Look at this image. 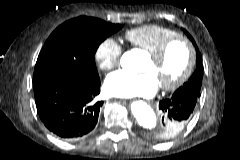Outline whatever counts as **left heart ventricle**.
<instances>
[{
  "label": "left heart ventricle",
  "mask_w": 240,
  "mask_h": 160,
  "mask_svg": "<svg viewBox=\"0 0 240 160\" xmlns=\"http://www.w3.org/2000/svg\"><path fill=\"white\" fill-rule=\"evenodd\" d=\"M187 62L188 51L186 46L182 43H176L170 47L160 63L154 62L150 57L146 58L141 71L154 74L160 85L169 84L183 73Z\"/></svg>",
  "instance_id": "1"
}]
</instances>
